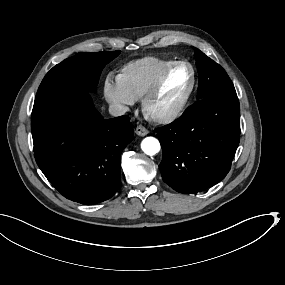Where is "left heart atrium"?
Masks as SVG:
<instances>
[{
	"label": "left heart atrium",
	"mask_w": 285,
	"mask_h": 285,
	"mask_svg": "<svg viewBox=\"0 0 285 285\" xmlns=\"http://www.w3.org/2000/svg\"><path fill=\"white\" fill-rule=\"evenodd\" d=\"M144 116H145V118H147V119H150V118H153V117H154L152 114H150V113H148V112H144Z\"/></svg>",
	"instance_id": "left-heart-atrium-1"
}]
</instances>
